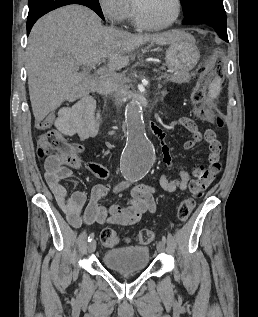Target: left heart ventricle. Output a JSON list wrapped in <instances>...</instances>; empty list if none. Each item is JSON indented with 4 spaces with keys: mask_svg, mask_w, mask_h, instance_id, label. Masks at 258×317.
Segmentation results:
<instances>
[{
    "mask_svg": "<svg viewBox=\"0 0 258 317\" xmlns=\"http://www.w3.org/2000/svg\"><path fill=\"white\" fill-rule=\"evenodd\" d=\"M176 6L171 0H153L145 3L140 10V18L145 27H158L171 21Z\"/></svg>",
    "mask_w": 258,
    "mask_h": 317,
    "instance_id": "1",
    "label": "left heart ventricle"
}]
</instances>
